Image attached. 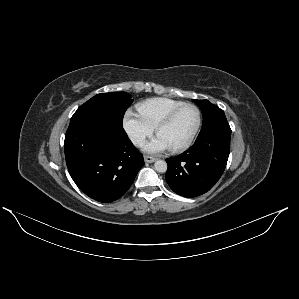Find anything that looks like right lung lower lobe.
<instances>
[{
	"instance_id": "98d812e1",
	"label": "right lung lower lobe",
	"mask_w": 299,
	"mask_h": 299,
	"mask_svg": "<svg viewBox=\"0 0 299 299\" xmlns=\"http://www.w3.org/2000/svg\"><path fill=\"white\" fill-rule=\"evenodd\" d=\"M68 171L90 198L99 202L119 199L143 167V155L126 132L106 122L70 124L64 141Z\"/></svg>"
}]
</instances>
